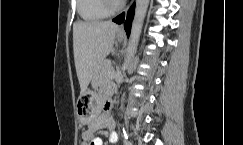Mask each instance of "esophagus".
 <instances>
[{"label": "esophagus", "mask_w": 243, "mask_h": 145, "mask_svg": "<svg viewBox=\"0 0 243 145\" xmlns=\"http://www.w3.org/2000/svg\"><path fill=\"white\" fill-rule=\"evenodd\" d=\"M119 30H121V31L123 30V25H121V27L119 28Z\"/></svg>", "instance_id": "1"}]
</instances>
